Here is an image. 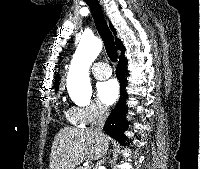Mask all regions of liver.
Returning a JSON list of instances; mask_svg holds the SVG:
<instances>
[{
    "instance_id": "6515ba94",
    "label": "liver",
    "mask_w": 200,
    "mask_h": 169,
    "mask_svg": "<svg viewBox=\"0 0 200 169\" xmlns=\"http://www.w3.org/2000/svg\"><path fill=\"white\" fill-rule=\"evenodd\" d=\"M108 147V137L90 129L65 127L55 136L50 153V169H76L83 160H98Z\"/></svg>"
}]
</instances>
